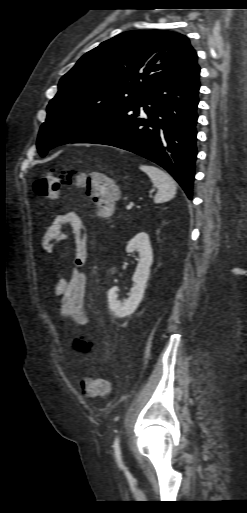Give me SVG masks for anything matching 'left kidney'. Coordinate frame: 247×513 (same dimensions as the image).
I'll return each instance as SVG.
<instances>
[{
    "label": "left kidney",
    "mask_w": 247,
    "mask_h": 513,
    "mask_svg": "<svg viewBox=\"0 0 247 513\" xmlns=\"http://www.w3.org/2000/svg\"><path fill=\"white\" fill-rule=\"evenodd\" d=\"M126 251H137L139 253L138 265L132 277L135 285L132 287L128 299H124L122 302L118 300V287H112L108 291L109 309L115 317H126L137 309L143 299L150 267L153 262L150 239L145 232L138 233L132 238L126 247Z\"/></svg>",
    "instance_id": "5707ae66"
}]
</instances>
